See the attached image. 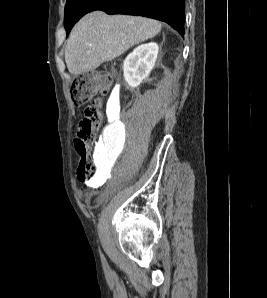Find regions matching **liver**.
<instances>
[{
	"instance_id": "obj_1",
	"label": "liver",
	"mask_w": 267,
	"mask_h": 298,
	"mask_svg": "<svg viewBox=\"0 0 267 298\" xmlns=\"http://www.w3.org/2000/svg\"><path fill=\"white\" fill-rule=\"evenodd\" d=\"M161 23L144 17L88 13L72 29L65 62L69 72L78 76L112 61L130 47L156 36Z\"/></svg>"
}]
</instances>
